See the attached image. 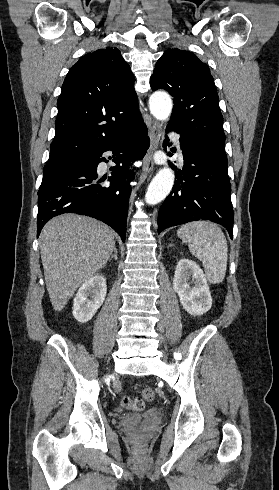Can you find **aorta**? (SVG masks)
<instances>
[{
  "mask_svg": "<svg viewBox=\"0 0 279 490\" xmlns=\"http://www.w3.org/2000/svg\"><path fill=\"white\" fill-rule=\"evenodd\" d=\"M149 107L152 115L160 121H166L172 112V100L165 92H156L149 99ZM174 172L171 168L161 169L150 182L145 201L149 205H155L164 200L170 193L174 184Z\"/></svg>",
  "mask_w": 279,
  "mask_h": 490,
  "instance_id": "762f6f07",
  "label": "aorta"
}]
</instances>
